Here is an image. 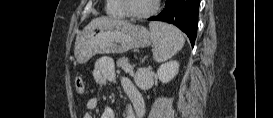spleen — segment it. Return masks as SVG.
I'll list each match as a JSON object with an SVG mask.
<instances>
[{
	"label": "spleen",
	"instance_id": "3e777b00",
	"mask_svg": "<svg viewBox=\"0 0 273 118\" xmlns=\"http://www.w3.org/2000/svg\"><path fill=\"white\" fill-rule=\"evenodd\" d=\"M149 28L155 61L164 62L170 59L184 46V36L176 27L161 22H151Z\"/></svg>",
	"mask_w": 273,
	"mask_h": 118
}]
</instances>
